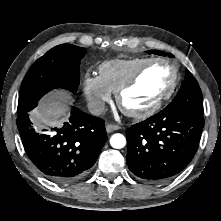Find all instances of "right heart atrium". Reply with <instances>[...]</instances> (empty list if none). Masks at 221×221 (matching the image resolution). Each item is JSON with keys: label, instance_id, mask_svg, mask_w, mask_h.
Segmentation results:
<instances>
[{"label": "right heart atrium", "instance_id": "obj_1", "mask_svg": "<svg viewBox=\"0 0 221 221\" xmlns=\"http://www.w3.org/2000/svg\"><path fill=\"white\" fill-rule=\"evenodd\" d=\"M82 88L91 110L96 113L103 112L106 104L112 98V92L100 77L86 75L82 82Z\"/></svg>", "mask_w": 221, "mask_h": 221}]
</instances>
